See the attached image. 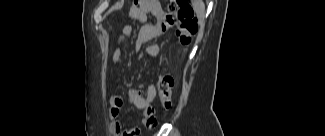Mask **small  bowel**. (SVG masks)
I'll return each mask as SVG.
<instances>
[{"label": "small bowel", "mask_w": 325, "mask_h": 136, "mask_svg": "<svg viewBox=\"0 0 325 136\" xmlns=\"http://www.w3.org/2000/svg\"><path fill=\"white\" fill-rule=\"evenodd\" d=\"M164 30V26L157 24L144 25L138 31L135 44L138 47L146 46L147 62L149 65H153L159 55V47L157 45L148 44L151 40L160 36ZM134 32V27L132 25H126L121 30L120 36L115 42L112 62L117 65L124 51V41ZM156 97V89L153 84L148 85L145 89L135 88L131 89L127 94V100L131 104L143 112L142 126L146 128H154L158 121L154 114V108L152 107V102ZM125 97L123 95H114L109 100L110 105V116L116 119L119 115L121 108L125 104ZM112 129L116 136H137L142 127L134 126L131 128L124 129L122 124L115 120L112 123Z\"/></svg>", "instance_id": "small-bowel-1"}]
</instances>
